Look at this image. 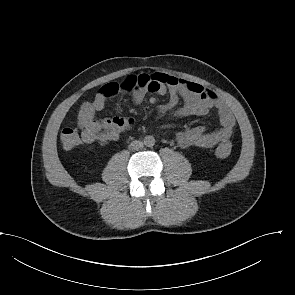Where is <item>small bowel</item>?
Returning a JSON list of instances; mask_svg holds the SVG:
<instances>
[{
	"instance_id": "small-bowel-1",
	"label": "small bowel",
	"mask_w": 295,
	"mask_h": 295,
	"mask_svg": "<svg viewBox=\"0 0 295 295\" xmlns=\"http://www.w3.org/2000/svg\"><path fill=\"white\" fill-rule=\"evenodd\" d=\"M135 78L137 84L133 89V100L136 104H141L147 93L168 95V101L160 105H156L154 96L149 99L150 104L155 105L159 117L205 116L212 109L217 111L220 128L207 132L203 126H196L180 131L176 134L180 147L210 149L227 141L232 135L235 118L228 105L212 90L163 73L140 74ZM106 99L107 97L98 92L92 101L81 106L78 126L83 142L105 144L115 141L123 131L133 125V120L125 117L96 119L95 115L104 108ZM181 100L183 103L179 106Z\"/></svg>"
}]
</instances>
